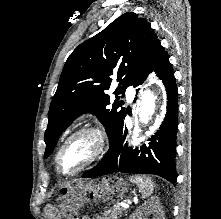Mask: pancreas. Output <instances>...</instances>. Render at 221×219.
I'll return each instance as SVG.
<instances>
[{
    "instance_id": "pancreas-1",
    "label": "pancreas",
    "mask_w": 221,
    "mask_h": 219,
    "mask_svg": "<svg viewBox=\"0 0 221 219\" xmlns=\"http://www.w3.org/2000/svg\"><path fill=\"white\" fill-rule=\"evenodd\" d=\"M123 211L124 207L116 204L112 208L104 211L102 215L105 217L104 219H118L122 215Z\"/></svg>"
}]
</instances>
